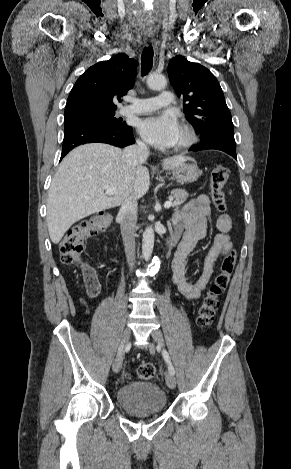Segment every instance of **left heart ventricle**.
I'll return each instance as SVG.
<instances>
[{
	"label": "left heart ventricle",
	"instance_id": "left-heart-ventricle-1",
	"mask_svg": "<svg viewBox=\"0 0 291 469\" xmlns=\"http://www.w3.org/2000/svg\"><path fill=\"white\" fill-rule=\"evenodd\" d=\"M182 140H183V134H182V132H180L179 138H178L177 143L175 145L180 143Z\"/></svg>",
	"mask_w": 291,
	"mask_h": 469
}]
</instances>
